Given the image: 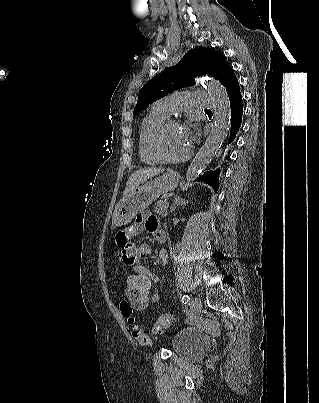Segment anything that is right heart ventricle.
Masks as SVG:
<instances>
[{"label":"right heart ventricle","instance_id":"obj_1","mask_svg":"<svg viewBox=\"0 0 319 403\" xmlns=\"http://www.w3.org/2000/svg\"><path fill=\"white\" fill-rule=\"evenodd\" d=\"M167 118L168 114L153 106L141 121L138 134V144L140 158L145 164L157 165L162 163V161L154 154L151 142L155 130Z\"/></svg>","mask_w":319,"mask_h":403}]
</instances>
